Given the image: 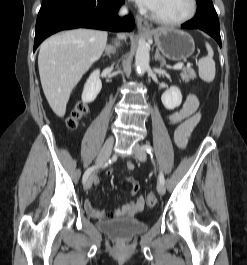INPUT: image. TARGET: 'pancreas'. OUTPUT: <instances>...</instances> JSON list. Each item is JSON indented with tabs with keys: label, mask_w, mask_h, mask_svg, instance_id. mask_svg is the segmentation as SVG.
<instances>
[{
	"label": "pancreas",
	"mask_w": 247,
	"mask_h": 265,
	"mask_svg": "<svg viewBox=\"0 0 247 265\" xmlns=\"http://www.w3.org/2000/svg\"><path fill=\"white\" fill-rule=\"evenodd\" d=\"M180 76L184 82H189L196 78V73L191 67H185L182 69Z\"/></svg>",
	"instance_id": "pancreas-1"
}]
</instances>
